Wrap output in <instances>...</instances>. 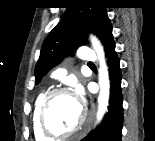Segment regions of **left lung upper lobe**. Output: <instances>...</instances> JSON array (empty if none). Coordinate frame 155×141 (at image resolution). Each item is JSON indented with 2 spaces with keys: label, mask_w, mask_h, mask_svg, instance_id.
<instances>
[{
  "label": "left lung upper lobe",
  "mask_w": 155,
  "mask_h": 141,
  "mask_svg": "<svg viewBox=\"0 0 155 141\" xmlns=\"http://www.w3.org/2000/svg\"><path fill=\"white\" fill-rule=\"evenodd\" d=\"M101 0H74L66 9L64 19L45 39L35 67L38 83L44 73L68 53H74L85 42L87 32L96 34L104 45L112 35V25Z\"/></svg>",
  "instance_id": "obj_1"
}]
</instances>
